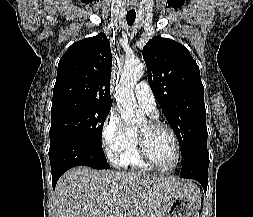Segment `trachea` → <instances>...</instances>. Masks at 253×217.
I'll use <instances>...</instances> for the list:
<instances>
[{
  "mask_svg": "<svg viewBox=\"0 0 253 217\" xmlns=\"http://www.w3.org/2000/svg\"><path fill=\"white\" fill-rule=\"evenodd\" d=\"M135 18H136V12H135V10H134V9L129 10V11L127 12V16H126L127 24H128L129 26H132L133 23H134V21H135Z\"/></svg>",
  "mask_w": 253,
  "mask_h": 217,
  "instance_id": "1",
  "label": "trachea"
}]
</instances>
